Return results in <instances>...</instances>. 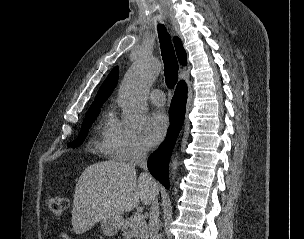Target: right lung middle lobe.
<instances>
[{"mask_svg":"<svg viewBox=\"0 0 304 239\" xmlns=\"http://www.w3.org/2000/svg\"><path fill=\"white\" fill-rule=\"evenodd\" d=\"M100 112V107L97 108H90L85 115V119L80 131V134L78 136V138L74 141L68 144L69 147H77L79 145L82 144V142L84 141V139L87 136L88 133V129L91 127L92 123L94 122L95 118L97 117V115Z\"/></svg>","mask_w":304,"mask_h":239,"instance_id":"dd1d6c3e","label":"right lung middle lobe"}]
</instances>
